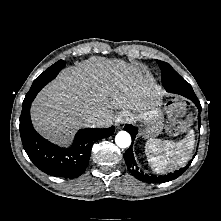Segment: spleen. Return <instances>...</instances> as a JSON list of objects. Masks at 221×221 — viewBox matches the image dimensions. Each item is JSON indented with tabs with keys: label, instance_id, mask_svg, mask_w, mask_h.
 I'll list each match as a JSON object with an SVG mask.
<instances>
[{
	"label": "spleen",
	"instance_id": "1",
	"mask_svg": "<svg viewBox=\"0 0 221 221\" xmlns=\"http://www.w3.org/2000/svg\"><path fill=\"white\" fill-rule=\"evenodd\" d=\"M194 143V132L191 130L179 142L149 139L145 145V153L155 172L172 171L189 161Z\"/></svg>",
	"mask_w": 221,
	"mask_h": 221
}]
</instances>
